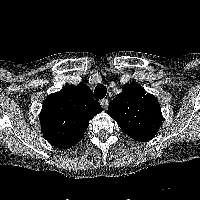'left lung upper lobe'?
<instances>
[{
  "mask_svg": "<svg viewBox=\"0 0 200 200\" xmlns=\"http://www.w3.org/2000/svg\"><path fill=\"white\" fill-rule=\"evenodd\" d=\"M109 115L137 141L151 139L158 131L162 115L158 100L138 84L126 86L109 104Z\"/></svg>",
  "mask_w": 200,
  "mask_h": 200,
  "instance_id": "obj_1",
  "label": "left lung upper lobe"
}]
</instances>
